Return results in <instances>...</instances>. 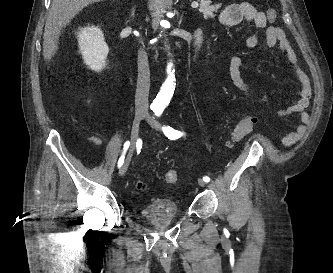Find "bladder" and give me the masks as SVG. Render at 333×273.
I'll return each mask as SVG.
<instances>
[{"label": "bladder", "instance_id": "31cf9c89", "mask_svg": "<svg viewBox=\"0 0 333 273\" xmlns=\"http://www.w3.org/2000/svg\"><path fill=\"white\" fill-rule=\"evenodd\" d=\"M177 204L172 200H158L141 207L140 216L153 226L165 227L180 217Z\"/></svg>", "mask_w": 333, "mask_h": 273}]
</instances>
